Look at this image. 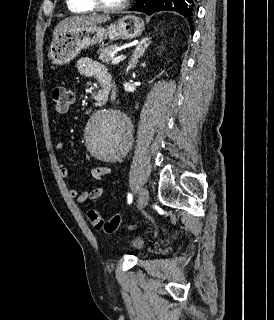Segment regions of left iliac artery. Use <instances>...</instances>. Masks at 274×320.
<instances>
[{
	"mask_svg": "<svg viewBox=\"0 0 274 320\" xmlns=\"http://www.w3.org/2000/svg\"><path fill=\"white\" fill-rule=\"evenodd\" d=\"M132 199H133L132 194H131V193H128V196H127V202H128V204L132 203Z\"/></svg>",
	"mask_w": 274,
	"mask_h": 320,
	"instance_id": "obj_1",
	"label": "left iliac artery"
}]
</instances>
